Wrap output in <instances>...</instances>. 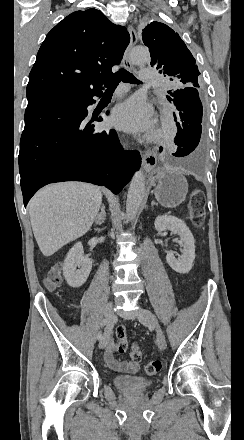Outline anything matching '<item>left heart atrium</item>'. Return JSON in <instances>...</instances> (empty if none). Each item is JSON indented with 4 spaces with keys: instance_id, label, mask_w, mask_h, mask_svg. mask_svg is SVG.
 <instances>
[{
    "instance_id": "39dd6f15",
    "label": "left heart atrium",
    "mask_w": 244,
    "mask_h": 440,
    "mask_svg": "<svg viewBox=\"0 0 244 440\" xmlns=\"http://www.w3.org/2000/svg\"><path fill=\"white\" fill-rule=\"evenodd\" d=\"M113 124L128 132L150 129L155 123V112L146 100L134 96L115 106L111 116Z\"/></svg>"
}]
</instances>
